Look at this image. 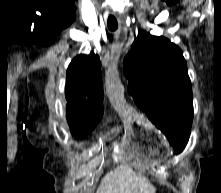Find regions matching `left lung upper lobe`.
<instances>
[{
	"label": "left lung upper lobe",
	"instance_id": "obj_1",
	"mask_svg": "<svg viewBox=\"0 0 221 193\" xmlns=\"http://www.w3.org/2000/svg\"><path fill=\"white\" fill-rule=\"evenodd\" d=\"M128 92L168 138L176 154L188 143L193 99L181 49L162 36L141 32L124 58Z\"/></svg>",
	"mask_w": 221,
	"mask_h": 193
}]
</instances>
